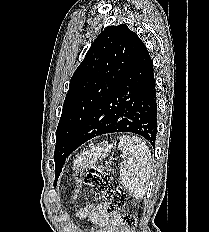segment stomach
<instances>
[{"label":"stomach","instance_id":"1","mask_svg":"<svg viewBox=\"0 0 209 232\" xmlns=\"http://www.w3.org/2000/svg\"><path fill=\"white\" fill-rule=\"evenodd\" d=\"M111 145L107 142L99 143L81 151L74 160V168L77 174H83L90 168H94L96 163L106 158L111 150Z\"/></svg>","mask_w":209,"mask_h":232}]
</instances>
